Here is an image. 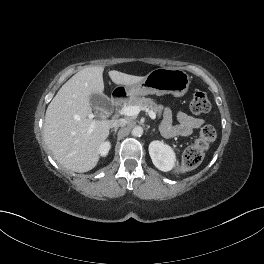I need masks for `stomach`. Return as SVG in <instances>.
<instances>
[{
	"mask_svg": "<svg viewBox=\"0 0 264 264\" xmlns=\"http://www.w3.org/2000/svg\"><path fill=\"white\" fill-rule=\"evenodd\" d=\"M190 85L189 75L179 68H157L152 70L144 80L124 87L126 95L137 97L148 94L158 96L172 94L181 97L186 94Z\"/></svg>",
	"mask_w": 264,
	"mask_h": 264,
	"instance_id": "0dacf381",
	"label": "stomach"
}]
</instances>
